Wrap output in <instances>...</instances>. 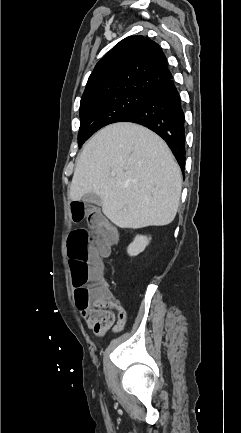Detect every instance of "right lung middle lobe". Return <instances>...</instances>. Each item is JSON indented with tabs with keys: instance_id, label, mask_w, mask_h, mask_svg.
<instances>
[{
	"instance_id": "obj_1",
	"label": "right lung middle lobe",
	"mask_w": 241,
	"mask_h": 433,
	"mask_svg": "<svg viewBox=\"0 0 241 433\" xmlns=\"http://www.w3.org/2000/svg\"><path fill=\"white\" fill-rule=\"evenodd\" d=\"M146 96V93L128 91L81 102L78 145L100 128L122 121L142 105Z\"/></svg>"
}]
</instances>
